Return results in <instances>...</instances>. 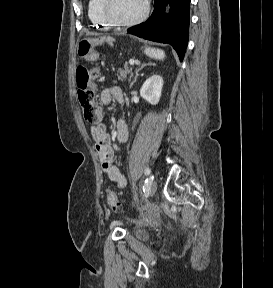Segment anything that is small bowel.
I'll return each mask as SVG.
<instances>
[{
    "mask_svg": "<svg viewBox=\"0 0 273 288\" xmlns=\"http://www.w3.org/2000/svg\"><path fill=\"white\" fill-rule=\"evenodd\" d=\"M100 99L105 105L110 104L113 99L121 102L123 101V93L118 86H111L101 92ZM91 134L95 140L96 149L107 178L116 183L118 187L124 188L127 180L116 164L115 153L111 146L106 126L102 123L93 125L91 127ZM116 138L119 142H126L128 139V129L123 120H119L116 124Z\"/></svg>",
    "mask_w": 273,
    "mask_h": 288,
    "instance_id": "small-bowel-1",
    "label": "small bowel"
}]
</instances>
